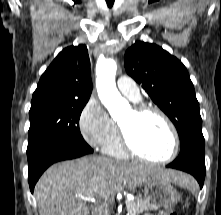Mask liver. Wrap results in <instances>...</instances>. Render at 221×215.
<instances>
[{
	"label": "liver",
	"mask_w": 221,
	"mask_h": 215,
	"mask_svg": "<svg viewBox=\"0 0 221 215\" xmlns=\"http://www.w3.org/2000/svg\"><path fill=\"white\" fill-rule=\"evenodd\" d=\"M151 178L180 186L193 183L190 176L175 170L90 156L48 168L37 182L34 194L40 215H87V202L94 197L106 200L124 187L136 188Z\"/></svg>",
	"instance_id": "liver-1"
}]
</instances>
